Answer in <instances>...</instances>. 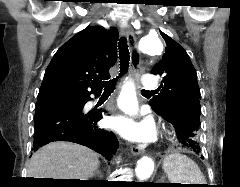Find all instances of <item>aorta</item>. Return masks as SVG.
<instances>
[{
	"instance_id": "1",
	"label": "aorta",
	"mask_w": 240,
	"mask_h": 187,
	"mask_svg": "<svg viewBox=\"0 0 240 187\" xmlns=\"http://www.w3.org/2000/svg\"><path fill=\"white\" fill-rule=\"evenodd\" d=\"M139 50L147 55H161L163 44L158 35H144L139 40ZM118 105L125 113L133 115L137 113L138 102L136 97L135 86L132 81H126L122 87ZM154 171V162L149 157H143L137 162L136 176L139 180L150 178Z\"/></svg>"
}]
</instances>
